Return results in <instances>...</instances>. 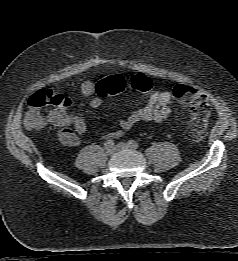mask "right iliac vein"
Listing matches in <instances>:
<instances>
[{
  "mask_svg": "<svg viewBox=\"0 0 238 261\" xmlns=\"http://www.w3.org/2000/svg\"><path fill=\"white\" fill-rule=\"evenodd\" d=\"M115 147L114 146H112V147H108V148H106V153L108 154V155H113L114 153H115Z\"/></svg>",
  "mask_w": 238,
  "mask_h": 261,
  "instance_id": "1",
  "label": "right iliac vein"
}]
</instances>
